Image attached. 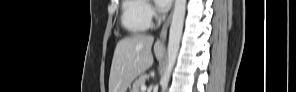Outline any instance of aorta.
Returning a JSON list of instances; mask_svg holds the SVG:
<instances>
[{
  "label": "aorta",
  "mask_w": 296,
  "mask_h": 92,
  "mask_svg": "<svg viewBox=\"0 0 296 92\" xmlns=\"http://www.w3.org/2000/svg\"><path fill=\"white\" fill-rule=\"evenodd\" d=\"M186 12V0H175L173 17L169 30L168 61L164 74L160 80L162 92H166L174 68L183 31Z\"/></svg>",
  "instance_id": "obj_1"
}]
</instances>
